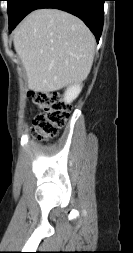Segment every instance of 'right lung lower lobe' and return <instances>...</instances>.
Returning <instances> with one entry per match:
<instances>
[{
	"label": "right lung lower lobe",
	"mask_w": 133,
	"mask_h": 253,
	"mask_svg": "<svg viewBox=\"0 0 133 253\" xmlns=\"http://www.w3.org/2000/svg\"><path fill=\"white\" fill-rule=\"evenodd\" d=\"M106 0H25L20 7V16L12 29L30 12L42 8H55L79 17L95 35L96 40L102 33ZM12 29L9 31L11 32Z\"/></svg>",
	"instance_id": "98d812e1"
}]
</instances>
